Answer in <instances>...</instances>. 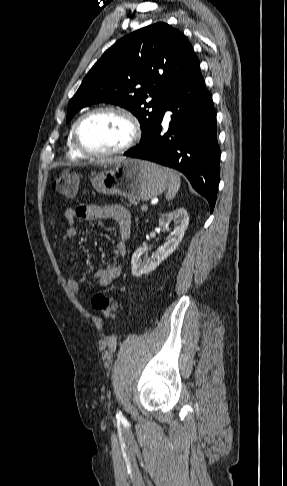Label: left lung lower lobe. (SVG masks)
<instances>
[{"mask_svg": "<svg viewBox=\"0 0 287 486\" xmlns=\"http://www.w3.org/2000/svg\"><path fill=\"white\" fill-rule=\"evenodd\" d=\"M166 110L173 114L162 132ZM124 156L156 162L182 172L193 188L214 209L219 185L220 148L217 143L216 112L200 64L167 92L159 119Z\"/></svg>", "mask_w": 287, "mask_h": 486, "instance_id": "0a47b994", "label": "left lung lower lobe"}]
</instances>
